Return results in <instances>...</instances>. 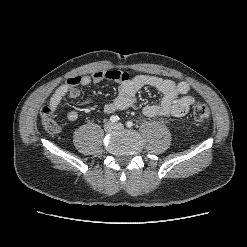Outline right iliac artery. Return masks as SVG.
I'll return each mask as SVG.
<instances>
[{"label":"right iliac artery","instance_id":"1","mask_svg":"<svg viewBox=\"0 0 247 247\" xmlns=\"http://www.w3.org/2000/svg\"><path fill=\"white\" fill-rule=\"evenodd\" d=\"M110 121H111L112 123L118 122V121H119V117L116 116V115H112V116L110 117Z\"/></svg>","mask_w":247,"mask_h":247}]
</instances>
